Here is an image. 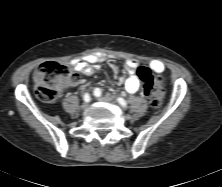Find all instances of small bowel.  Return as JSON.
Returning <instances> with one entry per match:
<instances>
[{
  "label": "small bowel",
  "instance_id": "obj_1",
  "mask_svg": "<svg viewBox=\"0 0 222 187\" xmlns=\"http://www.w3.org/2000/svg\"><path fill=\"white\" fill-rule=\"evenodd\" d=\"M107 56L104 54H91L84 59L72 61L73 67L84 75H92L97 69L98 63L106 60ZM138 62L135 60H127L125 62V69L129 73V77L125 81V89L128 93H136L140 87V81L136 74V68ZM155 73H162L165 70V66L162 62L154 60L148 64V67ZM78 83L83 84V80H79Z\"/></svg>",
  "mask_w": 222,
  "mask_h": 187
}]
</instances>
